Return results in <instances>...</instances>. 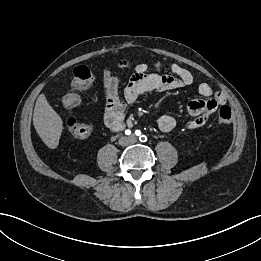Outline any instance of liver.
Segmentation results:
<instances>
[{
    "mask_svg": "<svg viewBox=\"0 0 261 261\" xmlns=\"http://www.w3.org/2000/svg\"><path fill=\"white\" fill-rule=\"evenodd\" d=\"M33 125L46 146L51 149L58 146L63 130V121L48 103L44 94H40L37 98L33 113Z\"/></svg>",
    "mask_w": 261,
    "mask_h": 261,
    "instance_id": "6515ba94",
    "label": "liver"
}]
</instances>
